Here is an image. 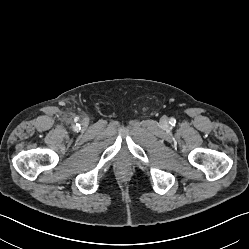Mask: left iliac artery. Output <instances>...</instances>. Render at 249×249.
<instances>
[{
	"instance_id": "1",
	"label": "left iliac artery",
	"mask_w": 249,
	"mask_h": 249,
	"mask_svg": "<svg viewBox=\"0 0 249 249\" xmlns=\"http://www.w3.org/2000/svg\"><path fill=\"white\" fill-rule=\"evenodd\" d=\"M175 122H176V120L174 118H171L169 121V123H171V124H174Z\"/></svg>"
}]
</instances>
